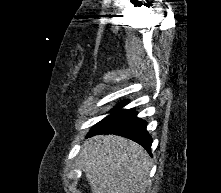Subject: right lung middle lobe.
Here are the masks:
<instances>
[{
    "instance_id": "1",
    "label": "right lung middle lobe",
    "mask_w": 221,
    "mask_h": 193,
    "mask_svg": "<svg viewBox=\"0 0 221 193\" xmlns=\"http://www.w3.org/2000/svg\"><path fill=\"white\" fill-rule=\"evenodd\" d=\"M127 104V102H121L119 105H117L113 110H111L110 112H117L118 110H120L123 106H125Z\"/></svg>"
}]
</instances>
